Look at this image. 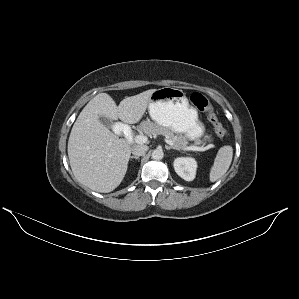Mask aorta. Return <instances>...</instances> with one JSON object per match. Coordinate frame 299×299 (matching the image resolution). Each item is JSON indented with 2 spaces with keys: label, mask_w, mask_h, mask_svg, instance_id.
<instances>
[{
  "label": "aorta",
  "mask_w": 299,
  "mask_h": 299,
  "mask_svg": "<svg viewBox=\"0 0 299 299\" xmlns=\"http://www.w3.org/2000/svg\"><path fill=\"white\" fill-rule=\"evenodd\" d=\"M164 156V153L161 149H155L152 152V159L154 160H161Z\"/></svg>",
  "instance_id": "762f6f07"
}]
</instances>
